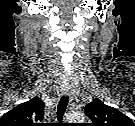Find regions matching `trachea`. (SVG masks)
Instances as JSON below:
<instances>
[{"instance_id":"3493384b","label":"trachea","mask_w":135,"mask_h":126,"mask_svg":"<svg viewBox=\"0 0 135 126\" xmlns=\"http://www.w3.org/2000/svg\"><path fill=\"white\" fill-rule=\"evenodd\" d=\"M68 101H69V97L63 96L60 99L59 104L57 106V120L59 121V124H62L61 122L63 120V116L66 111Z\"/></svg>"}]
</instances>
